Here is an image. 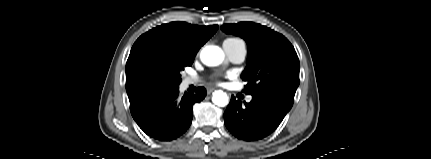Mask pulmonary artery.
I'll list each match as a JSON object with an SVG mask.
<instances>
[{
    "instance_id": "obj_1",
    "label": "pulmonary artery",
    "mask_w": 431,
    "mask_h": 159,
    "mask_svg": "<svg viewBox=\"0 0 431 159\" xmlns=\"http://www.w3.org/2000/svg\"><path fill=\"white\" fill-rule=\"evenodd\" d=\"M223 48L227 57L230 59V61L234 63H241L244 61L246 57V46L243 41L238 40L234 42H224ZM194 83H196V79L187 78L185 80L186 85H190ZM251 99H252L251 96H249L247 98V101H251Z\"/></svg>"
}]
</instances>
